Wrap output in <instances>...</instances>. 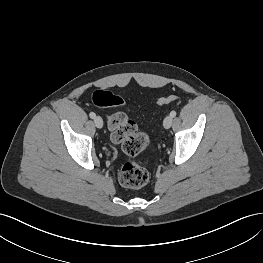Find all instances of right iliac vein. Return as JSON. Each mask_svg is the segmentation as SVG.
Instances as JSON below:
<instances>
[{"label":"right iliac vein","mask_w":263,"mask_h":263,"mask_svg":"<svg viewBox=\"0 0 263 263\" xmlns=\"http://www.w3.org/2000/svg\"><path fill=\"white\" fill-rule=\"evenodd\" d=\"M94 124L97 128H102L103 127V120L100 116H96L94 118Z\"/></svg>","instance_id":"right-iliac-vein-1"}]
</instances>
